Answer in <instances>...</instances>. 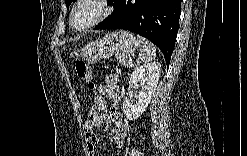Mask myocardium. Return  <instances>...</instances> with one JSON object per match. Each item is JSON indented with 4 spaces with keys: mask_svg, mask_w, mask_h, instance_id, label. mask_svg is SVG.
I'll use <instances>...</instances> for the list:
<instances>
[{
    "mask_svg": "<svg viewBox=\"0 0 247 156\" xmlns=\"http://www.w3.org/2000/svg\"><path fill=\"white\" fill-rule=\"evenodd\" d=\"M84 3H94L98 5L101 8V12L94 20L82 26H77L74 23V15H75L77 8ZM111 10L112 8L110 6V2H108L107 0H79L72 7L70 17H69L70 25L76 30H84V29L90 28L100 23L101 21H103L111 13Z\"/></svg>",
    "mask_w": 247,
    "mask_h": 156,
    "instance_id": "f54148a6",
    "label": "myocardium"
}]
</instances>
